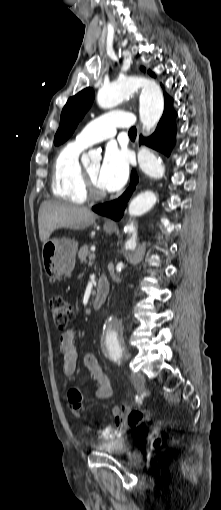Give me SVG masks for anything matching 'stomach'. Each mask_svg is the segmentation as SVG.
<instances>
[{"instance_id":"obj_1","label":"stomach","mask_w":221,"mask_h":510,"mask_svg":"<svg viewBox=\"0 0 221 510\" xmlns=\"http://www.w3.org/2000/svg\"><path fill=\"white\" fill-rule=\"evenodd\" d=\"M104 230L111 234L116 228L104 226ZM77 250L78 243L68 238L50 239L43 244V266L51 281L63 280L72 273Z\"/></svg>"}]
</instances>
